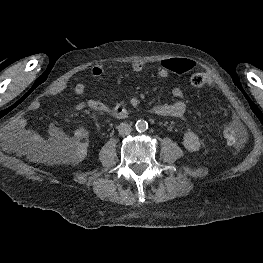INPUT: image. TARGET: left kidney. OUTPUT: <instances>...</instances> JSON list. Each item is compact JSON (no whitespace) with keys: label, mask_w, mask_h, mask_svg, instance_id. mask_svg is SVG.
<instances>
[{"label":"left kidney","mask_w":263,"mask_h":263,"mask_svg":"<svg viewBox=\"0 0 263 263\" xmlns=\"http://www.w3.org/2000/svg\"><path fill=\"white\" fill-rule=\"evenodd\" d=\"M183 146L188 151H198L201 147V141L196 133L186 131L183 136Z\"/></svg>","instance_id":"1"}]
</instances>
